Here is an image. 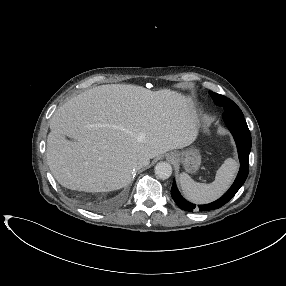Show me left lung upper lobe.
I'll list each match as a JSON object with an SVG mask.
<instances>
[{"label": "left lung upper lobe", "instance_id": "1", "mask_svg": "<svg viewBox=\"0 0 286 286\" xmlns=\"http://www.w3.org/2000/svg\"><path fill=\"white\" fill-rule=\"evenodd\" d=\"M209 94L211 95L216 105L222 106L224 108L223 115L234 114L243 116L241 109L231 99L212 91H210Z\"/></svg>", "mask_w": 286, "mask_h": 286}]
</instances>
